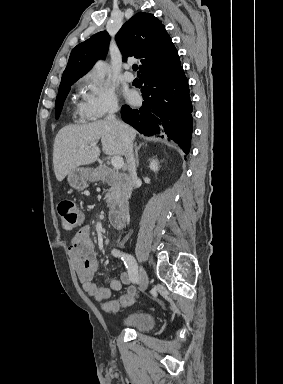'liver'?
<instances>
[{
    "mask_svg": "<svg viewBox=\"0 0 283 384\" xmlns=\"http://www.w3.org/2000/svg\"><path fill=\"white\" fill-rule=\"evenodd\" d=\"M119 126L109 120H97L84 126H65L59 130L53 148V166L58 182L78 168L94 164L100 156V148L90 146L101 140L107 156H124V144L120 132L123 130L130 140H135L136 130L127 124L118 122Z\"/></svg>",
    "mask_w": 283,
    "mask_h": 384,
    "instance_id": "6515ba94",
    "label": "liver"
}]
</instances>
